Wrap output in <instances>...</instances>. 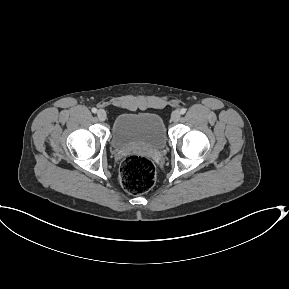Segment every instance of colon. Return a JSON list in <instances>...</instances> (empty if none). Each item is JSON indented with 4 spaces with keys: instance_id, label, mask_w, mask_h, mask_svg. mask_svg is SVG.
<instances>
[{
    "instance_id": "5ec220e1",
    "label": "colon",
    "mask_w": 289,
    "mask_h": 289,
    "mask_svg": "<svg viewBox=\"0 0 289 289\" xmlns=\"http://www.w3.org/2000/svg\"><path fill=\"white\" fill-rule=\"evenodd\" d=\"M120 181L123 188L131 194L147 192L155 181L153 163L142 155L127 157L120 168Z\"/></svg>"
}]
</instances>
